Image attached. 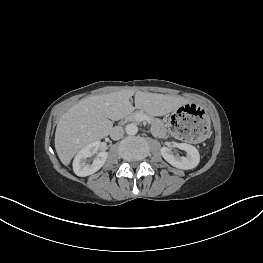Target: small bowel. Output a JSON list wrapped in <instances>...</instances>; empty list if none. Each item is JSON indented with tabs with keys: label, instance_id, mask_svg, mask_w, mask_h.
Instances as JSON below:
<instances>
[{
	"label": "small bowel",
	"instance_id": "small-bowel-1",
	"mask_svg": "<svg viewBox=\"0 0 263 263\" xmlns=\"http://www.w3.org/2000/svg\"><path fill=\"white\" fill-rule=\"evenodd\" d=\"M156 131L158 132V133H161V130H160V127L159 126H156Z\"/></svg>",
	"mask_w": 263,
	"mask_h": 263
}]
</instances>
